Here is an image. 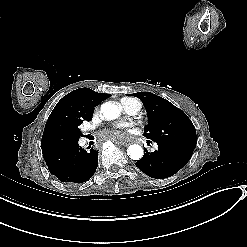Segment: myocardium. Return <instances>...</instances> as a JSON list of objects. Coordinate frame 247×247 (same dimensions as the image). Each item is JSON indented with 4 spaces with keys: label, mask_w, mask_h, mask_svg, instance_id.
Wrapping results in <instances>:
<instances>
[{
    "label": "myocardium",
    "mask_w": 247,
    "mask_h": 247,
    "mask_svg": "<svg viewBox=\"0 0 247 247\" xmlns=\"http://www.w3.org/2000/svg\"><path fill=\"white\" fill-rule=\"evenodd\" d=\"M135 100V99H134ZM129 117L133 120L134 123H136L137 121L132 117L131 113H128Z\"/></svg>",
    "instance_id": "f54148a6"
}]
</instances>
